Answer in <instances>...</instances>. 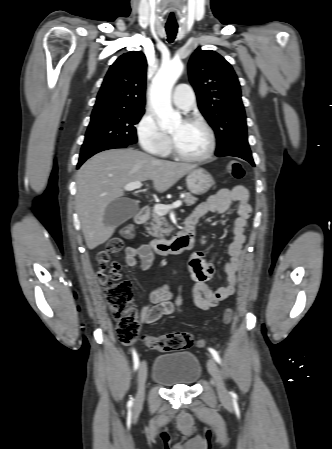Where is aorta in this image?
Wrapping results in <instances>:
<instances>
[{
  "label": "aorta",
  "mask_w": 332,
  "mask_h": 449,
  "mask_svg": "<svg viewBox=\"0 0 332 449\" xmlns=\"http://www.w3.org/2000/svg\"><path fill=\"white\" fill-rule=\"evenodd\" d=\"M183 63L174 60L162 64L150 88L151 105L163 129H172L181 123V115L172 108L171 92L183 72Z\"/></svg>",
  "instance_id": "aorta-1"
}]
</instances>
